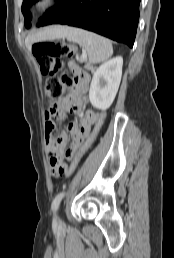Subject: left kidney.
<instances>
[{
  "mask_svg": "<svg viewBox=\"0 0 174 258\" xmlns=\"http://www.w3.org/2000/svg\"><path fill=\"white\" fill-rule=\"evenodd\" d=\"M123 58L115 57L101 64L93 74L89 100L93 107L106 110L113 103L122 76Z\"/></svg>",
  "mask_w": 174,
  "mask_h": 258,
  "instance_id": "left-kidney-1",
  "label": "left kidney"
}]
</instances>
